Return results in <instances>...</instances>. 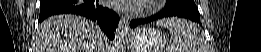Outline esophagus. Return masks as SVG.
Segmentation results:
<instances>
[{
  "label": "esophagus",
  "instance_id": "1",
  "mask_svg": "<svg viewBox=\"0 0 261 52\" xmlns=\"http://www.w3.org/2000/svg\"><path fill=\"white\" fill-rule=\"evenodd\" d=\"M119 31L121 34L126 35L129 33V18L127 16H122L118 26Z\"/></svg>",
  "mask_w": 261,
  "mask_h": 52
}]
</instances>
